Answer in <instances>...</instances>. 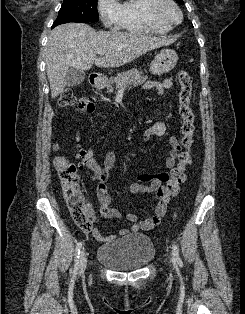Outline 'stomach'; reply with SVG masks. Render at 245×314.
I'll return each mask as SVG.
<instances>
[{"label":"stomach","instance_id":"obj_1","mask_svg":"<svg viewBox=\"0 0 245 314\" xmlns=\"http://www.w3.org/2000/svg\"><path fill=\"white\" fill-rule=\"evenodd\" d=\"M178 55L172 49L161 50L150 64V72L154 75H162L170 72L177 64ZM104 78L100 79L97 87L105 86Z\"/></svg>","mask_w":245,"mask_h":314}]
</instances>
